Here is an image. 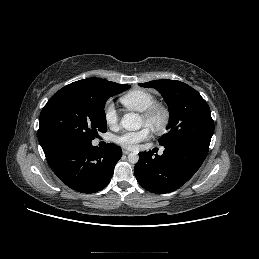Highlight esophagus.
Returning <instances> with one entry per match:
<instances>
[{
    "instance_id": "esophagus-1",
    "label": "esophagus",
    "mask_w": 259,
    "mask_h": 259,
    "mask_svg": "<svg viewBox=\"0 0 259 259\" xmlns=\"http://www.w3.org/2000/svg\"><path fill=\"white\" fill-rule=\"evenodd\" d=\"M122 152H123V154H125V155H127V154H129L130 153V151H128V150H122Z\"/></svg>"
}]
</instances>
